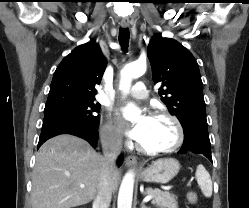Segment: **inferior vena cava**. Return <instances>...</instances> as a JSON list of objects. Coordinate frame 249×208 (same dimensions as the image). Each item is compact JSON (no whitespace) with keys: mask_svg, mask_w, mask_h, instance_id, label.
<instances>
[{"mask_svg":"<svg viewBox=\"0 0 249 208\" xmlns=\"http://www.w3.org/2000/svg\"><path fill=\"white\" fill-rule=\"evenodd\" d=\"M103 166L99 192L94 199L93 208H109L112 198L111 178L116 169V160L122 149V135L112 131L101 138Z\"/></svg>","mask_w":249,"mask_h":208,"instance_id":"inferior-vena-cava-1","label":"inferior vena cava"}]
</instances>
